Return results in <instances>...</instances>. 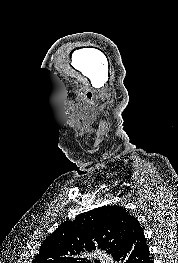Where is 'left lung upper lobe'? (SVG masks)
<instances>
[{"label": "left lung upper lobe", "mask_w": 178, "mask_h": 263, "mask_svg": "<svg viewBox=\"0 0 178 263\" xmlns=\"http://www.w3.org/2000/svg\"><path fill=\"white\" fill-rule=\"evenodd\" d=\"M132 218L119 206H103L79 214L45 239L33 263H91L85 253L96 248L113 256Z\"/></svg>", "instance_id": "1"}]
</instances>
